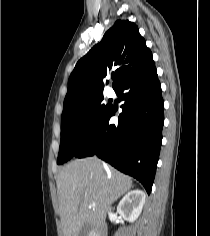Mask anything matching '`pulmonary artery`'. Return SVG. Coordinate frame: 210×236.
Segmentation results:
<instances>
[{"label":"pulmonary artery","instance_id":"obj_1","mask_svg":"<svg viewBox=\"0 0 210 236\" xmlns=\"http://www.w3.org/2000/svg\"><path fill=\"white\" fill-rule=\"evenodd\" d=\"M107 96L108 97H113L114 96V91L112 89H107Z\"/></svg>","mask_w":210,"mask_h":236}]
</instances>
